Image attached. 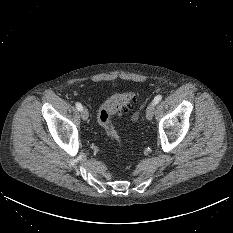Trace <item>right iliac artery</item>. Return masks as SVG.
<instances>
[{
	"instance_id": "right-iliac-artery-1",
	"label": "right iliac artery",
	"mask_w": 233,
	"mask_h": 233,
	"mask_svg": "<svg viewBox=\"0 0 233 233\" xmlns=\"http://www.w3.org/2000/svg\"><path fill=\"white\" fill-rule=\"evenodd\" d=\"M76 108H77L79 111H81L83 107H82L81 103L77 102V103H76Z\"/></svg>"
}]
</instances>
